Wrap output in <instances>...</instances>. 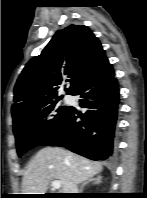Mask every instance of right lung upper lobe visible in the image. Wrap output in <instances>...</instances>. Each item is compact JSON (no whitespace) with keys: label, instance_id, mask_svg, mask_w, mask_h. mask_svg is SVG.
<instances>
[{"label":"right lung upper lobe","instance_id":"right-lung-upper-lobe-1","mask_svg":"<svg viewBox=\"0 0 147 198\" xmlns=\"http://www.w3.org/2000/svg\"><path fill=\"white\" fill-rule=\"evenodd\" d=\"M107 61L101 43L87 26L70 25L57 31L42 53L26 64L17 80L13 122L61 99L57 93L65 77L71 81L65 91L74 95Z\"/></svg>","mask_w":147,"mask_h":198}]
</instances>
